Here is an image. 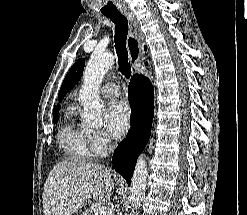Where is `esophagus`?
<instances>
[{
    "label": "esophagus",
    "mask_w": 247,
    "mask_h": 215,
    "mask_svg": "<svg viewBox=\"0 0 247 215\" xmlns=\"http://www.w3.org/2000/svg\"><path fill=\"white\" fill-rule=\"evenodd\" d=\"M124 16L129 21V33L126 41L129 60L132 66V72L137 73V66L143 61V37L140 33V25L133 11L128 8L121 10Z\"/></svg>",
    "instance_id": "obj_1"
}]
</instances>
